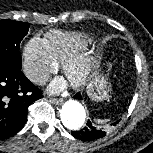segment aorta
I'll return each mask as SVG.
<instances>
[{"label": "aorta", "instance_id": "1", "mask_svg": "<svg viewBox=\"0 0 153 153\" xmlns=\"http://www.w3.org/2000/svg\"><path fill=\"white\" fill-rule=\"evenodd\" d=\"M60 117L66 128L78 130L86 121V111L79 101L70 99L63 104Z\"/></svg>", "mask_w": 153, "mask_h": 153}]
</instances>
